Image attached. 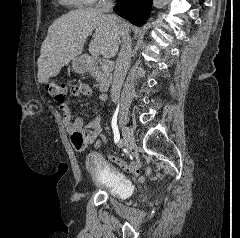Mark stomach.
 Segmentation results:
<instances>
[{
  "label": "stomach",
  "instance_id": "1",
  "mask_svg": "<svg viewBox=\"0 0 240 238\" xmlns=\"http://www.w3.org/2000/svg\"><path fill=\"white\" fill-rule=\"evenodd\" d=\"M72 67L77 73H84L88 70V64L82 58H75Z\"/></svg>",
  "mask_w": 240,
  "mask_h": 238
}]
</instances>
